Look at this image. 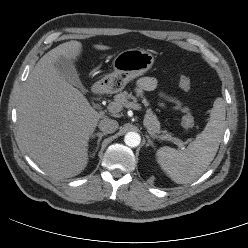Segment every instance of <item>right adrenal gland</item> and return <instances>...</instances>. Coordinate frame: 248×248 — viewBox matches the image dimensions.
I'll return each mask as SVG.
<instances>
[{
	"label": "right adrenal gland",
	"instance_id": "obj_1",
	"mask_svg": "<svg viewBox=\"0 0 248 248\" xmlns=\"http://www.w3.org/2000/svg\"><path fill=\"white\" fill-rule=\"evenodd\" d=\"M106 133H101V132H98V133H95L92 135V138H95L96 136L98 137V140H97V147H96V150L92 153V155H90V157L94 158L96 152L98 151V148H99V144L102 140V137L105 136Z\"/></svg>",
	"mask_w": 248,
	"mask_h": 248
}]
</instances>
